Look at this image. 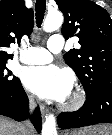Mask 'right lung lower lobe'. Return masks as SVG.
Returning a JSON list of instances; mask_svg holds the SVG:
<instances>
[{
    "label": "right lung lower lobe",
    "mask_w": 112,
    "mask_h": 135,
    "mask_svg": "<svg viewBox=\"0 0 112 135\" xmlns=\"http://www.w3.org/2000/svg\"><path fill=\"white\" fill-rule=\"evenodd\" d=\"M0 114L11 117L16 121H22L28 117V97L21 85L15 87L11 92L0 94ZM32 123L38 132L41 131V113L37 107Z\"/></svg>",
    "instance_id": "obj_1"
}]
</instances>
